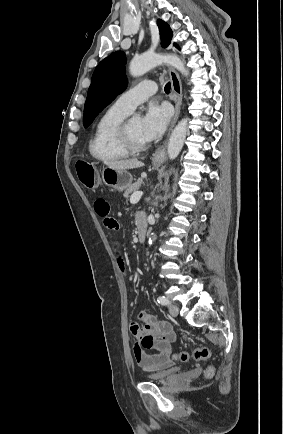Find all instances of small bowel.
Returning a JSON list of instances; mask_svg holds the SVG:
<instances>
[{"label": "small bowel", "instance_id": "small-bowel-1", "mask_svg": "<svg viewBox=\"0 0 283 434\" xmlns=\"http://www.w3.org/2000/svg\"><path fill=\"white\" fill-rule=\"evenodd\" d=\"M94 210L97 215L104 219V224L111 230L119 228L118 222L111 215L110 203L104 198H98L94 202ZM144 220L138 215L137 221ZM119 265L124 269L122 260ZM139 318L144 321L140 326L137 322L130 324V333L135 341L134 357L138 366L144 370L160 371L173 365L171 358L172 344L176 341V334L171 325L159 321L153 314L141 313ZM156 348L157 353L148 354L144 349Z\"/></svg>", "mask_w": 283, "mask_h": 434}]
</instances>
